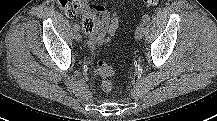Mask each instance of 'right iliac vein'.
<instances>
[{
    "instance_id": "1",
    "label": "right iliac vein",
    "mask_w": 217,
    "mask_h": 121,
    "mask_svg": "<svg viewBox=\"0 0 217 121\" xmlns=\"http://www.w3.org/2000/svg\"><path fill=\"white\" fill-rule=\"evenodd\" d=\"M73 38L76 40V41H81L82 40V37H81V35L79 34V33H74V36H73Z\"/></svg>"
}]
</instances>
